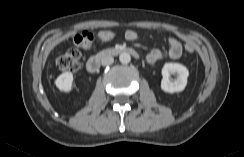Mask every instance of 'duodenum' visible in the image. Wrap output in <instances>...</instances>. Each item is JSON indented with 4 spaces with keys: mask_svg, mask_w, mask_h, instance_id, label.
I'll return each mask as SVG.
<instances>
[{
    "mask_svg": "<svg viewBox=\"0 0 244 157\" xmlns=\"http://www.w3.org/2000/svg\"><path fill=\"white\" fill-rule=\"evenodd\" d=\"M120 54H131L133 56H138V53L132 48L117 47V48L106 49L90 57L86 63V69L89 72H96L99 69L101 61L104 58L110 56H117Z\"/></svg>",
    "mask_w": 244,
    "mask_h": 157,
    "instance_id": "duodenum-1",
    "label": "duodenum"
}]
</instances>
